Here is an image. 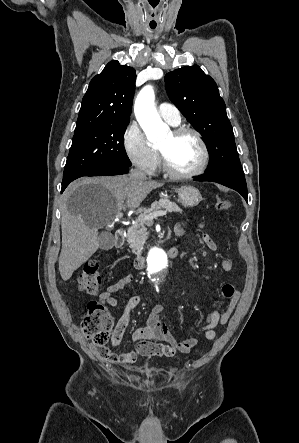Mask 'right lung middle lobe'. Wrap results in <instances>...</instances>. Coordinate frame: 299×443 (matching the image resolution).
Returning a JSON list of instances; mask_svg holds the SVG:
<instances>
[{
  "mask_svg": "<svg viewBox=\"0 0 299 443\" xmlns=\"http://www.w3.org/2000/svg\"><path fill=\"white\" fill-rule=\"evenodd\" d=\"M128 124L129 120H112L75 130L62 184L101 168L131 166L123 146V136Z\"/></svg>",
  "mask_w": 299,
  "mask_h": 443,
  "instance_id": "right-lung-middle-lobe-1",
  "label": "right lung middle lobe"
}]
</instances>
